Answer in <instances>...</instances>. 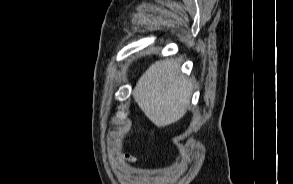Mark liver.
Returning <instances> with one entry per match:
<instances>
[{"label":"liver","instance_id":"1","mask_svg":"<svg viewBox=\"0 0 293 184\" xmlns=\"http://www.w3.org/2000/svg\"><path fill=\"white\" fill-rule=\"evenodd\" d=\"M178 59L152 64L138 80L133 97L147 118L157 127L179 121L190 105L192 84L179 72Z\"/></svg>","mask_w":293,"mask_h":184}]
</instances>
